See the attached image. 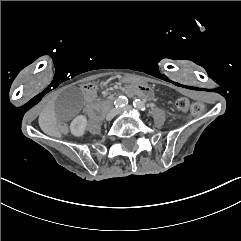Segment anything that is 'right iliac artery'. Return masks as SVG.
<instances>
[{
  "label": "right iliac artery",
  "mask_w": 241,
  "mask_h": 241,
  "mask_svg": "<svg viewBox=\"0 0 241 241\" xmlns=\"http://www.w3.org/2000/svg\"><path fill=\"white\" fill-rule=\"evenodd\" d=\"M128 104V99L125 96H119L114 102L116 108H122Z\"/></svg>",
  "instance_id": "obj_1"
}]
</instances>
